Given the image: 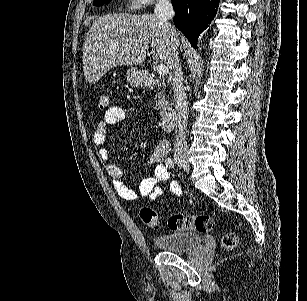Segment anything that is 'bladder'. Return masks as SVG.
<instances>
[{"label": "bladder", "instance_id": "1", "mask_svg": "<svg viewBox=\"0 0 307 301\" xmlns=\"http://www.w3.org/2000/svg\"><path fill=\"white\" fill-rule=\"evenodd\" d=\"M203 241L196 233L172 232L166 235H155L154 243L159 251H189L194 246H199Z\"/></svg>", "mask_w": 307, "mask_h": 301}]
</instances>
